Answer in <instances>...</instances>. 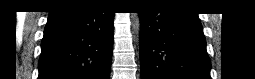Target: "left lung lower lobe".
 <instances>
[{"label":"left lung lower lobe","mask_w":255,"mask_h":79,"mask_svg":"<svg viewBox=\"0 0 255 79\" xmlns=\"http://www.w3.org/2000/svg\"><path fill=\"white\" fill-rule=\"evenodd\" d=\"M142 12L141 79H210L203 28L195 13L163 5Z\"/></svg>","instance_id":"left-lung-lower-lobe-1"}]
</instances>
